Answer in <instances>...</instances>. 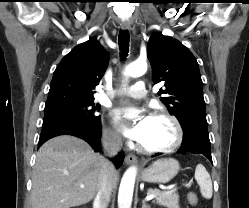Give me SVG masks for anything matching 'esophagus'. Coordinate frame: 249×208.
<instances>
[{
    "label": "esophagus",
    "mask_w": 249,
    "mask_h": 208,
    "mask_svg": "<svg viewBox=\"0 0 249 208\" xmlns=\"http://www.w3.org/2000/svg\"><path fill=\"white\" fill-rule=\"evenodd\" d=\"M121 29L122 30H130L131 29V25L128 21H122L121 22ZM137 162V157L134 154H127L125 157V163L127 165H131Z\"/></svg>",
    "instance_id": "esophagus-1"
}]
</instances>
